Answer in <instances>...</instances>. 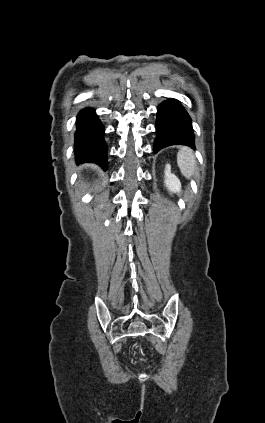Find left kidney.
<instances>
[{"label":"left kidney","instance_id":"1","mask_svg":"<svg viewBox=\"0 0 265 423\" xmlns=\"http://www.w3.org/2000/svg\"><path fill=\"white\" fill-rule=\"evenodd\" d=\"M165 186L171 193H180L181 192V183L178 177L171 173V166L170 164H166L165 166Z\"/></svg>","mask_w":265,"mask_h":423}]
</instances>
